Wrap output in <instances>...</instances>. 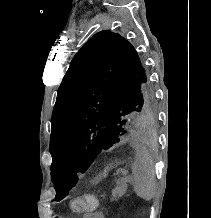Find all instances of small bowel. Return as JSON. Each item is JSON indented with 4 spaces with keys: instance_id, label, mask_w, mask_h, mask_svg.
<instances>
[{
    "instance_id": "c3829d8e",
    "label": "small bowel",
    "mask_w": 211,
    "mask_h": 218,
    "mask_svg": "<svg viewBox=\"0 0 211 218\" xmlns=\"http://www.w3.org/2000/svg\"><path fill=\"white\" fill-rule=\"evenodd\" d=\"M85 218H104V216L100 211H89Z\"/></svg>"
}]
</instances>
